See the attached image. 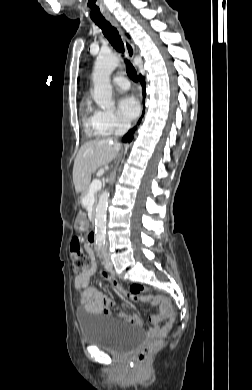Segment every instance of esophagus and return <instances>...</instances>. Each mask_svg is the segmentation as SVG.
I'll use <instances>...</instances> for the list:
<instances>
[{"label": "esophagus", "instance_id": "34e87169", "mask_svg": "<svg viewBox=\"0 0 252 390\" xmlns=\"http://www.w3.org/2000/svg\"><path fill=\"white\" fill-rule=\"evenodd\" d=\"M106 18H107L108 21H110V23L114 27H116L118 29V31H119V33L121 35L124 47H125V51H126L127 57L133 63V60H134V57H135V53H136L133 44L124 36V33H123V30H122L121 26L119 25L118 21L114 17L108 15V16H106Z\"/></svg>", "mask_w": 252, "mask_h": 390}]
</instances>
